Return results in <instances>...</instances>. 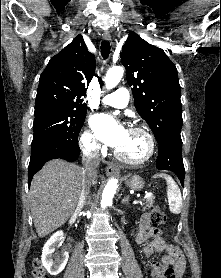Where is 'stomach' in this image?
I'll return each mask as SVG.
<instances>
[{
	"label": "stomach",
	"instance_id": "1",
	"mask_svg": "<svg viewBox=\"0 0 221 278\" xmlns=\"http://www.w3.org/2000/svg\"><path fill=\"white\" fill-rule=\"evenodd\" d=\"M126 184L130 189H133L135 191H140L144 187L143 180L137 175H134L133 177H131L126 182Z\"/></svg>",
	"mask_w": 221,
	"mask_h": 278
}]
</instances>
